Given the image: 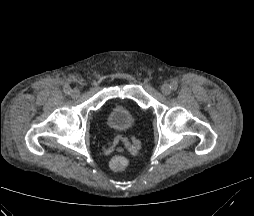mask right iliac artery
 Here are the masks:
<instances>
[{"mask_svg":"<svg viewBox=\"0 0 254 216\" xmlns=\"http://www.w3.org/2000/svg\"><path fill=\"white\" fill-rule=\"evenodd\" d=\"M64 92H65L66 94H70V93H71V88H70L69 86H66V87L64 88Z\"/></svg>","mask_w":254,"mask_h":216,"instance_id":"1","label":"right iliac artery"}]
</instances>
